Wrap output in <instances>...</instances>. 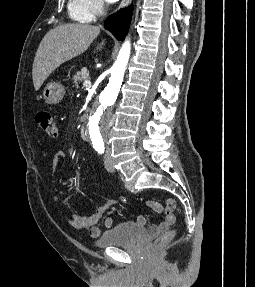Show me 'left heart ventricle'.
Segmentation results:
<instances>
[{
    "label": "left heart ventricle",
    "mask_w": 255,
    "mask_h": 287,
    "mask_svg": "<svg viewBox=\"0 0 255 287\" xmlns=\"http://www.w3.org/2000/svg\"><path fill=\"white\" fill-rule=\"evenodd\" d=\"M93 39H95V38H93ZM88 48H96V47H88Z\"/></svg>",
    "instance_id": "b2bd125f"
}]
</instances>
